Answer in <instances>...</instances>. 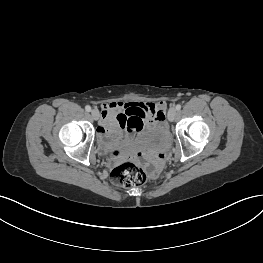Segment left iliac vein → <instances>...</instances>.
Masks as SVG:
<instances>
[{
    "label": "left iliac vein",
    "instance_id": "obj_1",
    "mask_svg": "<svg viewBox=\"0 0 263 263\" xmlns=\"http://www.w3.org/2000/svg\"><path fill=\"white\" fill-rule=\"evenodd\" d=\"M177 116V110L175 108H170L168 111V120L174 121Z\"/></svg>",
    "mask_w": 263,
    "mask_h": 263
}]
</instances>
